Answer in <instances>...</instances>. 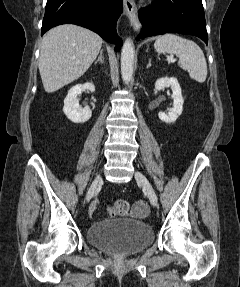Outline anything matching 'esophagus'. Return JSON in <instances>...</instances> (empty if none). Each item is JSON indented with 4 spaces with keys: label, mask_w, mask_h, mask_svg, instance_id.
<instances>
[{
    "label": "esophagus",
    "mask_w": 240,
    "mask_h": 287,
    "mask_svg": "<svg viewBox=\"0 0 240 287\" xmlns=\"http://www.w3.org/2000/svg\"><path fill=\"white\" fill-rule=\"evenodd\" d=\"M123 5L124 14L128 17L132 27L135 30H139L141 28V23L138 19L137 7L134 0H123Z\"/></svg>",
    "instance_id": "34e87169"
}]
</instances>
